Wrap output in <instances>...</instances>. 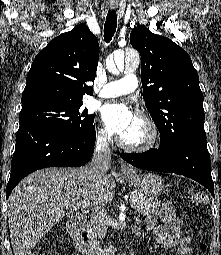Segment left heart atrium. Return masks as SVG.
Instances as JSON below:
<instances>
[{
  "mask_svg": "<svg viewBox=\"0 0 221 255\" xmlns=\"http://www.w3.org/2000/svg\"><path fill=\"white\" fill-rule=\"evenodd\" d=\"M102 121L110 134L121 136L133 124L135 116L124 103H108L101 111Z\"/></svg>",
  "mask_w": 221,
  "mask_h": 255,
  "instance_id": "39dd6f15",
  "label": "left heart atrium"
}]
</instances>
